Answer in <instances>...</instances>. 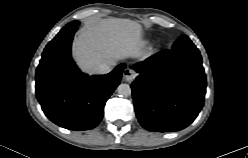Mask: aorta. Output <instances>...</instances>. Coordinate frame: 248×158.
<instances>
[{
  "label": "aorta",
  "instance_id": "1",
  "mask_svg": "<svg viewBox=\"0 0 248 158\" xmlns=\"http://www.w3.org/2000/svg\"><path fill=\"white\" fill-rule=\"evenodd\" d=\"M117 92L119 94V96L121 97H127L129 95H131V87L129 86V84H120L117 87Z\"/></svg>",
  "mask_w": 248,
  "mask_h": 158
}]
</instances>
